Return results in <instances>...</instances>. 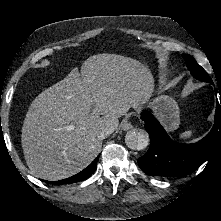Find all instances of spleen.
Listing matches in <instances>:
<instances>
[{"mask_svg": "<svg viewBox=\"0 0 221 221\" xmlns=\"http://www.w3.org/2000/svg\"><path fill=\"white\" fill-rule=\"evenodd\" d=\"M192 134H193V131H192V130H188V131L183 132V133L179 136V138H180V139H186V138L191 137Z\"/></svg>", "mask_w": 221, "mask_h": 221, "instance_id": "1", "label": "spleen"}]
</instances>
